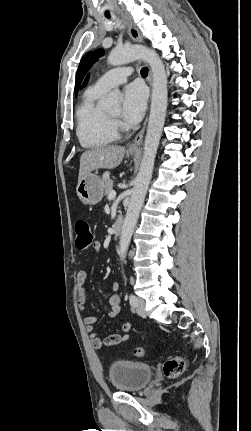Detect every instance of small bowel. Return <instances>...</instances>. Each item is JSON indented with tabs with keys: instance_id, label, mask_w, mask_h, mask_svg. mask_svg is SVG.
Returning a JSON list of instances; mask_svg holds the SVG:
<instances>
[{
	"instance_id": "1",
	"label": "small bowel",
	"mask_w": 251,
	"mask_h": 431,
	"mask_svg": "<svg viewBox=\"0 0 251 431\" xmlns=\"http://www.w3.org/2000/svg\"><path fill=\"white\" fill-rule=\"evenodd\" d=\"M95 251L100 252L101 251V245L99 243H96ZM87 279V273L84 269H80L77 272L76 276V283H77V301H78V307L80 311H84L87 306V297L84 289V284ZM113 291H117L119 289V283L114 282L112 284ZM121 311V298L118 294H114L109 299V310H108V316L111 318H115L120 314ZM97 322V319L93 316H84V323L86 325V331L87 334L91 340L92 346L99 350L103 346H116L120 345L124 342H126L129 339V331L131 329V324L129 322H122L120 323L119 327L121 332L110 334L105 337H101L97 334L95 331V324Z\"/></svg>"
}]
</instances>
